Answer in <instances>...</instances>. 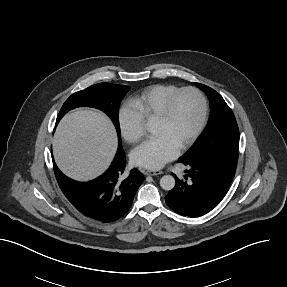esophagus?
<instances>
[{
    "instance_id": "esophagus-1",
    "label": "esophagus",
    "mask_w": 287,
    "mask_h": 287,
    "mask_svg": "<svg viewBox=\"0 0 287 287\" xmlns=\"http://www.w3.org/2000/svg\"><path fill=\"white\" fill-rule=\"evenodd\" d=\"M162 174V171L160 170H146L145 171V175H148V176H154V175H160Z\"/></svg>"
}]
</instances>
